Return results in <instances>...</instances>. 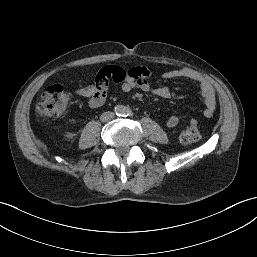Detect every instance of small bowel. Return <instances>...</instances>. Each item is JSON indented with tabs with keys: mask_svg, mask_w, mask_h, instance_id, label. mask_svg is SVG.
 Returning a JSON list of instances; mask_svg holds the SVG:
<instances>
[{
	"mask_svg": "<svg viewBox=\"0 0 257 257\" xmlns=\"http://www.w3.org/2000/svg\"><path fill=\"white\" fill-rule=\"evenodd\" d=\"M102 75L108 80H113L120 85V88L124 92H129L133 89H137L143 92H151L154 95L168 99L171 97V90L166 86H156L151 83L150 71L143 66H132L128 69H124L116 65H108L102 67L97 76ZM163 77L165 79H186L194 82L200 91L205 105L204 116L210 118L214 115L216 110V94L210 84V82L199 72L181 68L172 69L164 72ZM108 86L105 89H99L95 84H89L85 87L75 90L76 95L88 98V106L92 109L101 107L107 98ZM166 125L170 128H174L179 124V117L176 115H169L165 121ZM190 124L197 125L195 118L190 119Z\"/></svg>",
	"mask_w": 257,
	"mask_h": 257,
	"instance_id": "1",
	"label": "small bowel"
}]
</instances>
